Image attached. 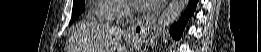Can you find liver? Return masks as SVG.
<instances>
[{
	"label": "liver",
	"instance_id": "6515ba94",
	"mask_svg": "<svg viewBox=\"0 0 261 52\" xmlns=\"http://www.w3.org/2000/svg\"><path fill=\"white\" fill-rule=\"evenodd\" d=\"M88 38V48L90 52H104L108 44L112 41H118L123 31L114 26H109L104 23H90L86 31Z\"/></svg>",
	"mask_w": 261,
	"mask_h": 52
}]
</instances>
